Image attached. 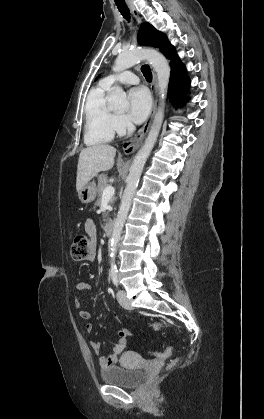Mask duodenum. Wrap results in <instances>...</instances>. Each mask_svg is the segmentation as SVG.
<instances>
[{"mask_svg":"<svg viewBox=\"0 0 264 419\" xmlns=\"http://www.w3.org/2000/svg\"><path fill=\"white\" fill-rule=\"evenodd\" d=\"M115 228L114 221H108L104 226V234L106 236H111Z\"/></svg>","mask_w":264,"mask_h":419,"instance_id":"1","label":"duodenum"}]
</instances>
